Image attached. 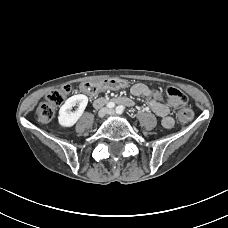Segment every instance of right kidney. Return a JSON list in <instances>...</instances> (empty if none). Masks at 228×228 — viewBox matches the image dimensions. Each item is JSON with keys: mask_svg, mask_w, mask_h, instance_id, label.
Returning a JSON list of instances; mask_svg holds the SVG:
<instances>
[{"mask_svg": "<svg viewBox=\"0 0 228 228\" xmlns=\"http://www.w3.org/2000/svg\"><path fill=\"white\" fill-rule=\"evenodd\" d=\"M88 104V97L83 94L74 95L68 98L59 110L58 122L62 127L73 126L78 119L82 116ZM78 106L74 112L71 111L72 107Z\"/></svg>", "mask_w": 228, "mask_h": 228, "instance_id": "ca27d5eb", "label": "right kidney"}]
</instances>
